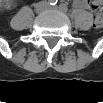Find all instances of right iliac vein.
I'll return each instance as SVG.
<instances>
[{
    "mask_svg": "<svg viewBox=\"0 0 103 103\" xmlns=\"http://www.w3.org/2000/svg\"><path fill=\"white\" fill-rule=\"evenodd\" d=\"M45 9H46V5L44 3H40V4L37 5L35 10H36L37 13H40Z\"/></svg>",
    "mask_w": 103,
    "mask_h": 103,
    "instance_id": "obj_1",
    "label": "right iliac vein"
}]
</instances>
